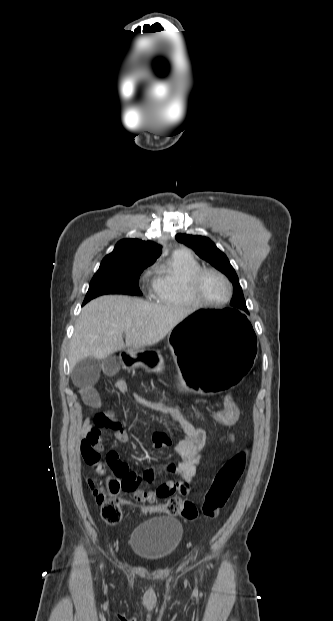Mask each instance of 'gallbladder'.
<instances>
[{
    "mask_svg": "<svg viewBox=\"0 0 333 621\" xmlns=\"http://www.w3.org/2000/svg\"><path fill=\"white\" fill-rule=\"evenodd\" d=\"M100 375V360L85 358L79 361L71 372V378L76 386H90L96 383Z\"/></svg>",
    "mask_w": 333,
    "mask_h": 621,
    "instance_id": "bac80fb5",
    "label": "gallbladder"
}]
</instances>
